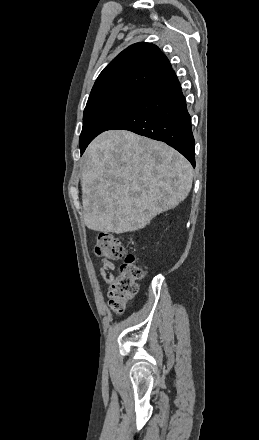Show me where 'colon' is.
Here are the masks:
<instances>
[{"instance_id":"5ec220e1","label":"colon","mask_w":259,"mask_h":440,"mask_svg":"<svg viewBox=\"0 0 259 440\" xmlns=\"http://www.w3.org/2000/svg\"><path fill=\"white\" fill-rule=\"evenodd\" d=\"M95 254L104 260H122L108 292L110 307L116 313H122L126 303L138 291L137 282L143 278V269L137 264L135 256L127 252L121 241L110 233L99 234Z\"/></svg>"}]
</instances>
